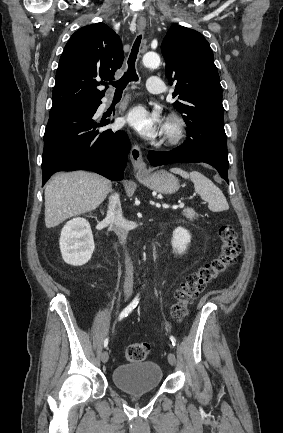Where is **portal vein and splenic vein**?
Instances as JSON below:
<instances>
[{"mask_svg": "<svg viewBox=\"0 0 283 433\" xmlns=\"http://www.w3.org/2000/svg\"><path fill=\"white\" fill-rule=\"evenodd\" d=\"M179 206H180V208H183L184 204H179ZM176 208H177V206H176Z\"/></svg>", "mask_w": 283, "mask_h": 433, "instance_id": "1", "label": "portal vein and splenic vein"}]
</instances>
